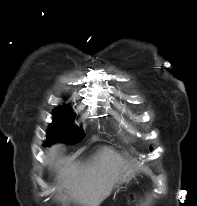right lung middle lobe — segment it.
Listing matches in <instances>:
<instances>
[{
    "label": "right lung middle lobe",
    "instance_id": "dd1d6c3e",
    "mask_svg": "<svg viewBox=\"0 0 197 206\" xmlns=\"http://www.w3.org/2000/svg\"><path fill=\"white\" fill-rule=\"evenodd\" d=\"M53 116V123H51L47 133L45 145H50L53 142L76 144L84 138V131L73 127L74 116L67 107L57 108Z\"/></svg>",
    "mask_w": 197,
    "mask_h": 206
}]
</instances>
